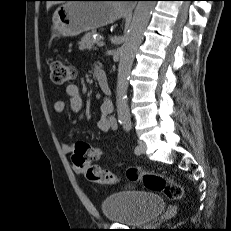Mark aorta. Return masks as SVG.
I'll use <instances>...</instances> for the list:
<instances>
[{"instance_id": "obj_1", "label": "aorta", "mask_w": 231, "mask_h": 231, "mask_svg": "<svg viewBox=\"0 0 231 231\" xmlns=\"http://www.w3.org/2000/svg\"><path fill=\"white\" fill-rule=\"evenodd\" d=\"M154 7L155 1L138 2L128 27L126 40L121 47L117 76L116 106L118 120L124 124L130 123L131 119L127 101V89L132 64Z\"/></svg>"}]
</instances>
